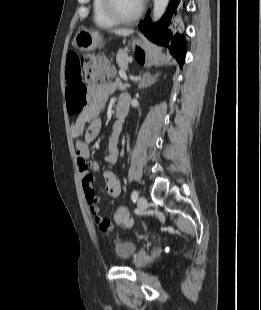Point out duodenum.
Here are the masks:
<instances>
[{"label": "duodenum", "instance_id": "410a0bca", "mask_svg": "<svg viewBox=\"0 0 261 310\" xmlns=\"http://www.w3.org/2000/svg\"><path fill=\"white\" fill-rule=\"evenodd\" d=\"M129 110V98L127 95H122L116 106V115L120 123L123 122V118L126 116Z\"/></svg>", "mask_w": 261, "mask_h": 310}]
</instances>
